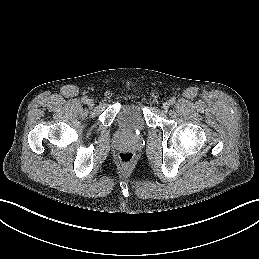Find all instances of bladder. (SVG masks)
Masks as SVG:
<instances>
[{
  "mask_svg": "<svg viewBox=\"0 0 259 259\" xmlns=\"http://www.w3.org/2000/svg\"><path fill=\"white\" fill-rule=\"evenodd\" d=\"M118 124L124 128L143 130L146 127L145 117L138 102H129L117 115Z\"/></svg>",
  "mask_w": 259,
  "mask_h": 259,
  "instance_id": "1",
  "label": "bladder"
}]
</instances>
